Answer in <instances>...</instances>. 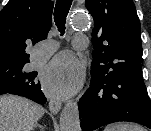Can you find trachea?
Returning <instances> with one entry per match:
<instances>
[{
	"label": "trachea",
	"mask_w": 151,
	"mask_h": 131,
	"mask_svg": "<svg viewBox=\"0 0 151 131\" xmlns=\"http://www.w3.org/2000/svg\"><path fill=\"white\" fill-rule=\"evenodd\" d=\"M73 0H57L54 9V21L61 35L65 33L66 17Z\"/></svg>",
	"instance_id": "1"
}]
</instances>
